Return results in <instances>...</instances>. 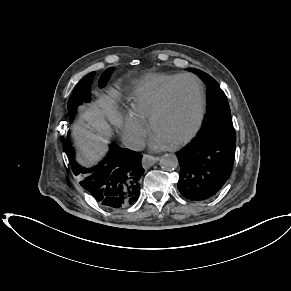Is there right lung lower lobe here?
<instances>
[{
  "label": "right lung lower lobe",
  "mask_w": 291,
  "mask_h": 291,
  "mask_svg": "<svg viewBox=\"0 0 291 291\" xmlns=\"http://www.w3.org/2000/svg\"><path fill=\"white\" fill-rule=\"evenodd\" d=\"M67 155L74 174L82 178L80 185L101 205L127 207L139 198L144 173L140 153L111 144L107 157L93 168H85L76 162L70 142Z\"/></svg>",
  "instance_id": "98d812e1"
}]
</instances>
